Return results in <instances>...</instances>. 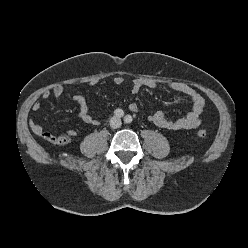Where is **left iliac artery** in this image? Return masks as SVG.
Here are the masks:
<instances>
[{"label": "left iliac artery", "instance_id": "1", "mask_svg": "<svg viewBox=\"0 0 248 248\" xmlns=\"http://www.w3.org/2000/svg\"><path fill=\"white\" fill-rule=\"evenodd\" d=\"M132 117L130 116V115H127V116H125V118H124V121H125V123H127V124H130L131 122H132Z\"/></svg>", "mask_w": 248, "mask_h": 248}]
</instances>
